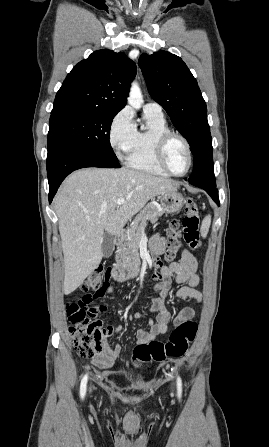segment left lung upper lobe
I'll return each mask as SVG.
<instances>
[{
    "label": "left lung upper lobe",
    "mask_w": 269,
    "mask_h": 447,
    "mask_svg": "<svg viewBox=\"0 0 269 447\" xmlns=\"http://www.w3.org/2000/svg\"><path fill=\"white\" fill-rule=\"evenodd\" d=\"M139 66L149 94L191 147L194 169L188 181L193 185L215 184L207 108L196 79L180 57L165 51L142 54Z\"/></svg>",
    "instance_id": "left-lung-upper-lobe-1"
}]
</instances>
